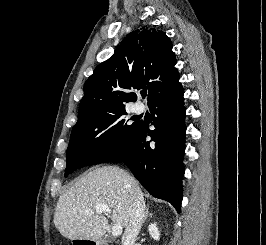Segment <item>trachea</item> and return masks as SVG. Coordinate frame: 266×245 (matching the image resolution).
Listing matches in <instances>:
<instances>
[{
  "label": "trachea",
  "mask_w": 266,
  "mask_h": 245,
  "mask_svg": "<svg viewBox=\"0 0 266 245\" xmlns=\"http://www.w3.org/2000/svg\"><path fill=\"white\" fill-rule=\"evenodd\" d=\"M142 97L145 98V97H146V93H143V94H142Z\"/></svg>",
  "instance_id": "3493384b"
}]
</instances>
